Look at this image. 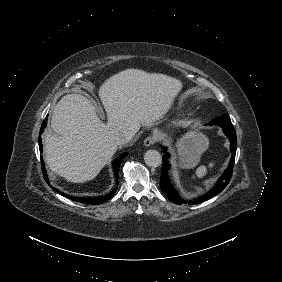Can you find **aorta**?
I'll return each instance as SVG.
<instances>
[{
    "instance_id": "aorta-1",
    "label": "aorta",
    "mask_w": 282,
    "mask_h": 282,
    "mask_svg": "<svg viewBox=\"0 0 282 282\" xmlns=\"http://www.w3.org/2000/svg\"><path fill=\"white\" fill-rule=\"evenodd\" d=\"M144 161L150 167H158L162 163V157L156 150H148L144 154Z\"/></svg>"
}]
</instances>
